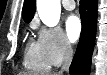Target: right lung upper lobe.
<instances>
[{"label":"right lung upper lobe","mask_w":107,"mask_h":75,"mask_svg":"<svg viewBox=\"0 0 107 75\" xmlns=\"http://www.w3.org/2000/svg\"><path fill=\"white\" fill-rule=\"evenodd\" d=\"M36 8V1L35 0H25L22 10L23 20L25 22H30L34 16Z\"/></svg>","instance_id":"cb5924a9"}]
</instances>
